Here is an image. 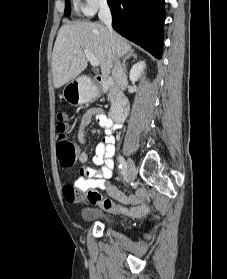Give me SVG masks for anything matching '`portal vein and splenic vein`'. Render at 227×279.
Wrapping results in <instances>:
<instances>
[{
    "label": "portal vein and splenic vein",
    "mask_w": 227,
    "mask_h": 279,
    "mask_svg": "<svg viewBox=\"0 0 227 279\" xmlns=\"http://www.w3.org/2000/svg\"><path fill=\"white\" fill-rule=\"evenodd\" d=\"M84 54L93 67H97L100 64L97 57H95L89 50L84 49Z\"/></svg>",
    "instance_id": "1"
}]
</instances>
